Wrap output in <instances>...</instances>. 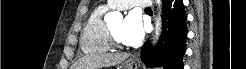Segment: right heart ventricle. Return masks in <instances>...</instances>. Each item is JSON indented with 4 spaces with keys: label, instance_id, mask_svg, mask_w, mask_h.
<instances>
[{
    "label": "right heart ventricle",
    "instance_id": "right-heart-ventricle-1",
    "mask_svg": "<svg viewBox=\"0 0 246 69\" xmlns=\"http://www.w3.org/2000/svg\"><path fill=\"white\" fill-rule=\"evenodd\" d=\"M108 5L96 7L88 18L83 30L80 46L84 53H103L109 51V25L105 21Z\"/></svg>",
    "mask_w": 246,
    "mask_h": 69
}]
</instances>
